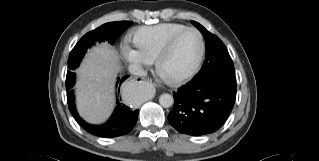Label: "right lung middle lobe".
Listing matches in <instances>:
<instances>
[{"instance_id":"dd1d6c3e","label":"right lung middle lobe","mask_w":319,"mask_h":161,"mask_svg":"<svg viewBox=\"0 0 319 161\" xmlns=\"http://www.w3.org/2000/svg\"><path fill=\"white\" fill-rule=\"evenodd\" d=\"M131 24V21L106 23L85 34L69 54L66 85H74L75 74L73 71L79 66L88 47L93 45L96 41L101 42L104 40L113 44L122 32Z\"/></svg>"}]
</instances>
